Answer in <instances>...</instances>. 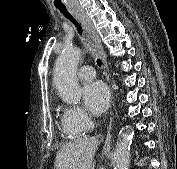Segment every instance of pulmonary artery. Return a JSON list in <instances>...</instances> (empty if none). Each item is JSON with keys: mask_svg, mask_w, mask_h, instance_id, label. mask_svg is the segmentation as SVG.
<instances>
[{"mask_svg": "<svg viewBox=\"0 0 177 169\" xmlns=\"http://www.w3.org/2000/svg\"><path fill=\"white\" fill-rule=\"evenodd\" d=\"M78 77L83 81H90L95 77V71L92 66H82L78 71Z\"/></svg>", "mask_w": 177, "mask_h": 169, "instance_id": "obj_1", "label": "pulmonary artery"}]
</instances>
